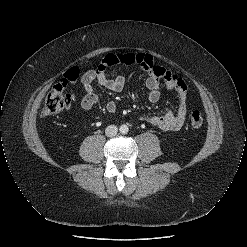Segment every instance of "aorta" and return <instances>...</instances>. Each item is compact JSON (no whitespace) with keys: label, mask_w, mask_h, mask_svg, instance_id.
Listing matches in <instances>:
<instances>
[{"label":"aorta","mask_w":247,"mask_h":247,"mask_svg":"<svg viewBox=\"0 0 247 247\" xmlns=\"http://www.w3.org/2000/svg\"><path fill=\"white\" fill-rule=\"evenodd\" d=\"M119 130H120V132H121L122 134H127L128 131H129V128H128L127 125H121L120 128H119Z\"/></svg>","instance_id":"762f6f07"}]
</instances>
